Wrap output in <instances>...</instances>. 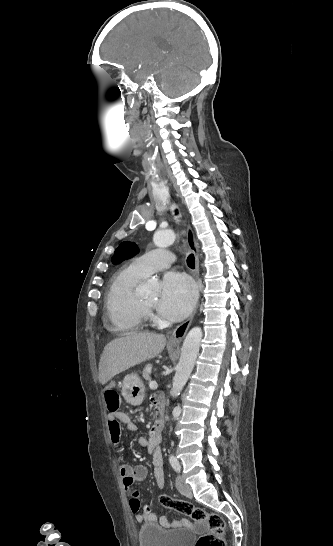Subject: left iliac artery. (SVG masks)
I'll return each mask as SVG.
<instances>
[{
  "instance_id": "44dca946",
  "label": "left iliac artery",
  "mask_w": 333,
  "mask_h": 546,
  "mask_svg": "<svg viewBox=\"0 0 333 546\" xmlns=\"http://www.w3.org/2000/svg\"><path fill=\"white\" fill-rule=\"evenodd\" d=\"M169 461H170V464L171 466L173 467V469L176 471V472H180V469H181V466L179 464V461L177 460L176 457H174L173 455H171L169 457Z\"/></svg>"
}]
</instances>
